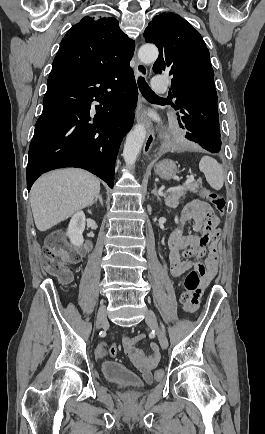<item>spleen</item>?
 Instances as JSON below:
<instances>
[{"mask_svg": "<svg viewBox=\"0 0 265 434\" xmlns=\"http://www.w3.org/2000/svg\"><path fill=\"white\" fill-rule=\"evenodd\" d=\"M199 170L205 174V178L211 188L221 190L224 182L223 170L216 160L209 158V156H203L200 160Z\"/></svg>", "mask_w": 265, "mask_h": 434, "instance_id": "1", "label": "spleen"}]
</instances>
